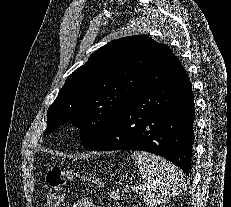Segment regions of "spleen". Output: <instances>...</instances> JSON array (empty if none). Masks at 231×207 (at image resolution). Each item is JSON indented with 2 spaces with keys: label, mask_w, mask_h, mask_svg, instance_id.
<instances>
[{
  "label": "spleen",
  "mask_w": 231,
  "mask_h": 207,
  "mask_svg": "<svg viewBox=\"0 0 231 207\" xmlns=\"http://www.w3.org/2000/svg\"><path fill=\"white\" fill-rule=\"evenodd\" d=\"M132 159L147 181V191L143 196L147 206L157 207L186 190V177L182 170L165 159L141 151H135Z\"/></svg>",
  "instance_id": "obj_1"
}]
</instances>
